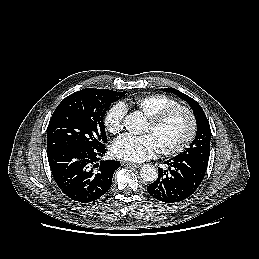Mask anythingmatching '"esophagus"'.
I'll return each mask as SVG.
<instances>
[{
    "mask_svg": "<svg viewBox=\"0 0 259 259\" xmlns=\"http://www.w3.org/2000/svg\"><path fill=\"white\" fill-rule=\"evenodd\" d=\"M123 165L131 166V167H134V168H140L142 166V164H135V163H130V162H123Z\"/></svg>",
    "mask_w": 259,
    "mask_h": 259,
    "instance_id": "esophagus-1",
    "label": "esophagus"
}]
</instances>
